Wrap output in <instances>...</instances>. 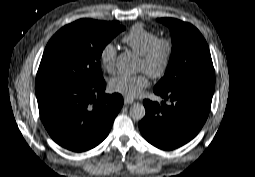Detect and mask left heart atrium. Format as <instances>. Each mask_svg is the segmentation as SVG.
<instances>
[{
    "instance_id": "obj_1",
    "label": "left heart atrium",
    "mask_w": 255,
    "mask_h": 177,
    "mask_svg": "<svg viewBox=\"0 0 255 177\" xmlns=\"http://www.w3.org/2000/svg\"><path fill=\"white\" fill-rule=\"evenodd\" d=\"M148 86V80L144 73L138 75H119L110 81V90L124 95L127 98L138 97L143 89Z\"/></svg>"
}]
</instances>
